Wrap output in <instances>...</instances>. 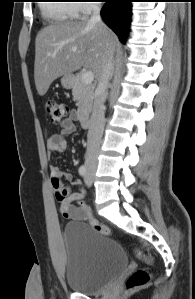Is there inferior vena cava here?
<instances>
[{
  "instance_id": "obj_1",
  "label": "inferior vena cava",
  "mask_w": 195,
  "mask_h": 299,
  "mask_svg": "<svg viewBox=\"0 0 195 299\" xmlns=\"http://www.w3.org/2000/svg\"><path fill=\"white\" fill-rule=\"evenodd\" d=\"M90 9L92 11V15L90 17V20L88 21V24H102L100 16V6L97 4H92L90 6ZM113 66V50H110L95 91V100L90 118L89 131L87 135V151L85 157V164L87 167L97 166L100 151V143L105 124L104 102L107 98V87L113 73Z\"/></svg>"
}]
</instances>
